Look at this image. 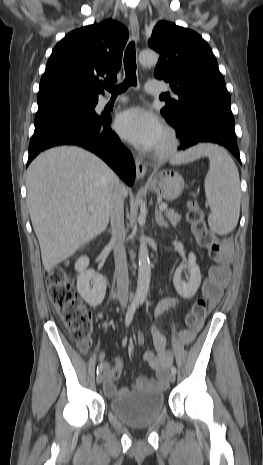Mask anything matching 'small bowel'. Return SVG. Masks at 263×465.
Instances as JSON below:
<instances>
[{
	"instance_id": "obj_1",
	"label": "small bowel",
	"mask_w": 263,
	"mask_h": 465,
	"mask_svg": "<svg viewBox=\"0 0 263 465\" xmlns=\"http://www.w3.org/2000/svg\"><path fill=\"white\" fill-rule=\"evenodd\" d=\"M218 265L210 269L207 278L204 280L201 292L206 295L211 303V306H215L222 294L225 286L227 285L230 278V252L228 249L220 253L217 257ZM178 303V299L175 297H166L161 300L156 309H155V318L161 316L164 312L173 308ZM206 322H201L199 325V330L201 334L205 333L204 328L206 327ZM197 333V330L194 331H183L181 333V341L188 343L192 341ZM152 339L153 344L156 349V353L153 351H146L143 355L144 360L149 364V366L156 372V378L151 379L145 376L139 377L135 386L137 387H152L156 389L164 388L167 383V371L172 363V354L166 348L165 337L161 332L156 328H152ZM137 341L140 345L144 344L145 338L142 333H139L137 336ZM123 360L120 357L116 358V363L114 366L108 364L104 365L105 369V382H104V392L108 397H113L121 393L126 392L125 388L117 390L114 382L120 378L123 371Z\"/></svg>"
}]
</instances>
